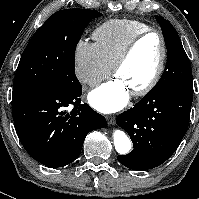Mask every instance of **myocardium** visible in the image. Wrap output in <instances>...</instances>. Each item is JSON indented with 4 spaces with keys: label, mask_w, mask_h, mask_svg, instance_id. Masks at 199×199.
I'll return each mask as SVG.
<instances>
[{
    "label": "myocardium",
    "mask_w": 199,
    "mask_h": 199,
    "mask_svg": "<svg viewBox=\"0 0 199 199\" xmlns=\"http://www.w3.org/2000/svg\"><path fill=\"white\" fill-rule=\"evenodd\" d=\"M149 35H156L158 36L161 44V55L159 58V62L157 65V68L153 74V76L150 78V80L143 85L140 88H137L133 90L131 93L134 96H145L148 93H150L159 83L162 74L165 69L166 60H167V54H168V47L167 42L164 37V35L158 30L154 28H149L138 35H136L133 39L129 41V43L124 47V49L120 52V54L115 59L113 65H112V71L114 75H117L118 70L120 67L127 61V59L130 57L138 43L145 37Z\"/></svg>",
    "instance_id": "f54148a6"
}]
</instances>
